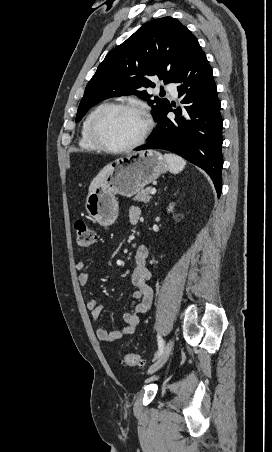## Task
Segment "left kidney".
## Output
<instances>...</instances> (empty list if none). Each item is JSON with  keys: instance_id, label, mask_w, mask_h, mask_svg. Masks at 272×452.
Wrapping results in <instances>:
<instances>
[{"instance_id": "5707ae66", "label": "left kidney", "mask_w": 272, "mask_h": 452, "mask_svg": "<svg viewBox=\"0 0 272 452\" xmlns=\"http://www.w3.org/2000/svg\"><path fill=\"white\" fill-rule=\"evenodd\" d=\"M172 208H173V206H172V204H170L168 211L169 212L172 211Z\"/></svg>"}]
</instances>
